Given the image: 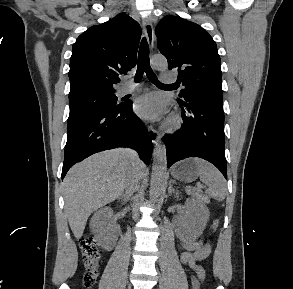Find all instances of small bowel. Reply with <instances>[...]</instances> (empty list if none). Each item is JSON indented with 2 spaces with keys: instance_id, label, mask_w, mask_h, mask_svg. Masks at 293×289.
<instances>
[{
  "instance_id": "obj_1",
  "label": "small bowel",
  "mask_w": 293,
  "mask_h": 289,
  "mask_svg": "<svg viewBox=\"0 0 293 289\" xmlns=\"http://www.w3.org/2000/svg\"><path fill=\"white\" fill-rule=\"evenodd\" d=\"M179 249L181 262L196 271L197 268H202L197 262L209 256L211 245L202 239H196L180 242Z\"/></svg>"
}]
</instances>
